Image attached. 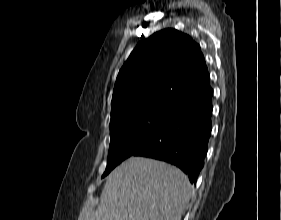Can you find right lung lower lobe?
<instances>
[{
	"mask_svg": "<svg viewBox=\"0 0 281 220\" xmlns=\"http://www.w3.org/2000/svg\"><path fill=\"white\" fill-rule=\"evenodd\" d=\"M212 95L210 88L183 101L132 155L171 163L187 174L191 183H196L211 135Z\"/></svg>",
	"mask_w": 281,
	"mask_h": 220,
	"instance_id": "1",
	"label": "right lung lower lobe"
}]
</instances>
